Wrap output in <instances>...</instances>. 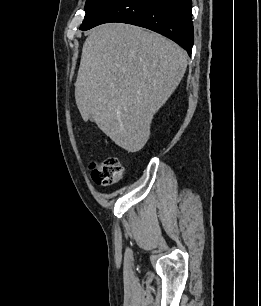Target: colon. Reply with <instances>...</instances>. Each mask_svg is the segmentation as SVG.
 Here are the masks:
<instances>
[{"label":"colon","mask_w":261,"mask_h":306,"mask_svg":"<svg viewBox=\"0 0 261 306\" xmlns=\"http://www.w3.org/2000/svg\"><path fill=\"white\" fill-rule=\"evenodd\" d=\"M123 166L115 157H110L93 167L91 176L97 185L105 186L117 182L123 176Z\"/></svg>","instance_id":"colon-1"}]
</instances>
